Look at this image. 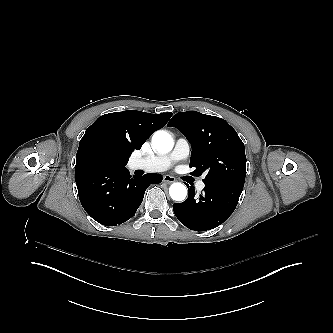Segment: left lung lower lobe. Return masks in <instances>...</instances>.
<instances>
[{"mask_svg":"<svg viewBox=\"0 0 333 333\" xmlns=\"http://www.w3.org/2000/svg\"><path fill=\"white\" fill-rule=\"evenodd\" d=\"M187 187L188 198L182 203H174L173 210L183 225L195 231L213 229L227 220L243 190V187L236 185L210 183L205 184L204 194L197 198L195 190Z\"/></svg>","mask_w":333,"mask_h":333,"instance_id":"left-lung-lower-lobe-1","label":"left lung lower lobe"}]
</instances>
